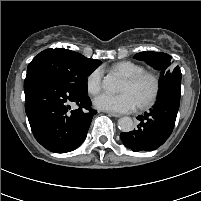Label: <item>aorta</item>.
Segmentation results:
<instances>
[{
    "label": "aorta",
    "mask_w": 201,
    "mask_h": 201,
    "mask_svg": "<svg viewBox=\"0 0 201 201\" xmlns=\"http://www.w3.org/2000/svg\"><path fill=\"white\" fill-rule=\"evenodd\" d=\"M102 86L105 90L109 92H118L120 90V82L119 80L112 74H108L104 77ZM118 128L122 132H130L134 128L133 120L130 117H122L118 120Z\"/></svg>",
    "instance_id": "1"
}]
</instances>
